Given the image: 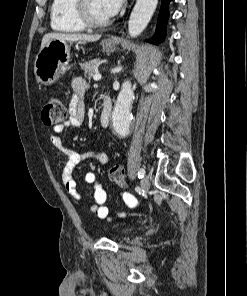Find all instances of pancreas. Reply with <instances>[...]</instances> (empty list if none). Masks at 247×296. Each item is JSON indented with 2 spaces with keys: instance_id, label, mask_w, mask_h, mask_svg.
<instances>
[{
  "instance_id": "cf45deb5",
  "label": "pancreas",
  "mask_w": 247,
  "mask_h": 296,
  "mask_svg": "<svg viewBox=\"0 0 247 296\" xmlns=\"http://www.w3.org/2000/svg\"><path fill=\"white\" fill-rule=\"evenodd\" d=\"M99 64L100 62L97 59L81 64V69L84 71L85 77L88 79L93 77L98 71Z\"/></svg>"
}]
</instances>
